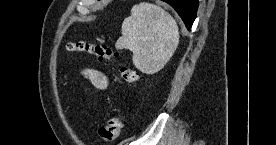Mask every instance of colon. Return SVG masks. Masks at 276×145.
I'll return each mask as SVG.
<instances>
[{
	"mask_svg": "<svg viewBox=\"0 0 276 145\" xmlns=\"http://www.w3.org/2000/svg\"><path fill=\"white\" fill-rule=\"evenodd\" d=\"M68 49L73 52L86 53L94 56L99 62L116 61L119 53L104 44H94L85 41L72 42L68 45ZM120 76L124 82L133 84L138 81V72L126 65H120ZM123 128V116L116 114L108 118L106 123L98 130L100 139L104 142H113L121 134Z\"/></svg>",
	"mask_w": 276,
	"mask_h": 145,
	"instance_id": "1",
	"label": "colon"
}]
</instances>
